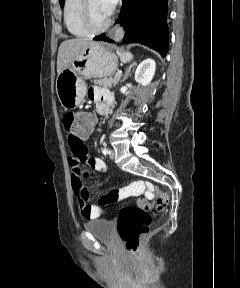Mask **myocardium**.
Instances as JSON below:
<instances>
[{
    "mask_svg": "<svg viewBox=\"0 0 240 288\" xmlns=\"http://www.w3.org/2000/svg\"><path fill=\"white\" fill-rule=\"evenodd\" d=\"M81 22H82L83 27L89 33H99V32L105 31L111 25L112 19L111 17H109L105 23H103L102 25L96 26L91 19L89 0H82Z\"/></svg>",
    "mask_w": 240,
    "mask_h": 288,
    "instance_id": "myocardium-1",
    "label": "myocardium"
}]
</instances>
